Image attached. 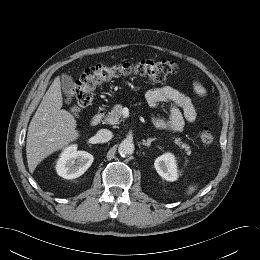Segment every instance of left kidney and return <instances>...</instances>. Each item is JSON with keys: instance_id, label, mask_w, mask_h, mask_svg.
<instances>
[{"instance_id": "5707ae66", "label": "left kidney", "mask_w": 260, "mask_h": 260, "mask_svg": "<svg viewBox=\"0 0 260 260\" xmlns=\"http://www.w3.org/2000/svg\"><path fill=\"white\" fill-rule=\"evenodd\" d=\"M157 173L167 181H176L178 171L176 160L173 154L165 153L158 157L154 162Z\"/></svg>"}]
</instances>
